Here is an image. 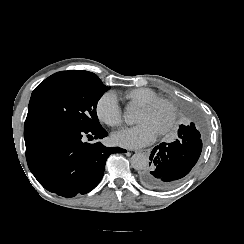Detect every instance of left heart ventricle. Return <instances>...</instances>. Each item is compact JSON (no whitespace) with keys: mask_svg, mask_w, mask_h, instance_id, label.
<instances>
[{"mask_svg":"<svg viewBox=\"0 0 244 244\" xmlns=\"http://www.w3.org/2000/svg\"><path fill=\"white\" fill-rule=\"evenodd\" d=\"M169 107V106H168ZM162 104L157 109L145 111L137 107L135 121L139 124H147L153 128L157 134H161L170 122L169 113Z\"/></svg>","mask_w":244,"mask_h":244,"instance_id":"left-heart-ventricle-1","label":"left heart ventricle"}]
</instances>
